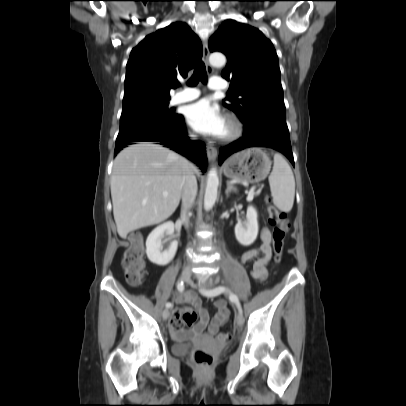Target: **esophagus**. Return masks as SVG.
<instances>
[{
    "label": "esophagus",
    "mask_w": 406,
    "mask_h": 406,
    "mask_svg": "<svg viewBox=\"0 0 406 406\" xmlns=\"http://www.w3.org/2000/svg\"><path fill=\"white\" fill-rule=\"evenodd\" d=\"M209 48H208V41L204 40L203 43V61L206 65L207 72L209 74L213 73V67L209 63ZM207 158L210 162L214 161L217 157V149L212 145H207Z\"/></svg>",
    "instance_id": "1"
}]
</instances>
